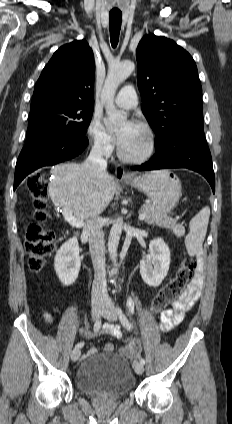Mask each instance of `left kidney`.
Instances as JSON below:
<instances>
[{
    "mask_svg": "<svg viewBox=\"0 0 232 424\" xmlns=\"http://www.w3.org/2000/svg\"><path fill=\"white\" fill-rule=\"evenodd\" d=\"M170 266L168 245L157 238L149 243V254L140 261V274L143 281L151 287L159 286L167 276Z\"/></svg>",
    "mask_w": 232,
    "mask_h": 424,
    "instance_id": "obj_1",
    "label": "left kidney"
}]
</instances>
